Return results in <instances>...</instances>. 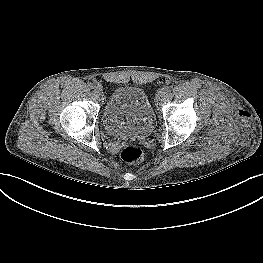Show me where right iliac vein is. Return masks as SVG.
Masks as SVG:
<instances>
[{
  "label": "right iliac vein",
  "mask_w": 263,
  "mask_h": 263,
  "mask_svg": "<svg viewBox=\"0 0 263 263\" xmlns=\"http://www.w3.org/2000/svg\"><path fill=\"white\" fill-rule=\"evenodd\" d=\"M95 91L98 95H101L102 94V87L95 89Z\"/></svg>",
  "instance_id": "obj_1"
}]
</instances>
